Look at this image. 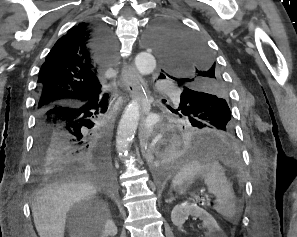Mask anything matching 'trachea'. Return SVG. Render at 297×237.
<instances>
[{
	"mask_svg": "<svg viewBox=\"0 0 297 237\" xmlns=\"http://www.w3.org/2000/svg\"><path fill=\"white\" fill-rule=\"evenodd\" d=\"M108 98H109V94H108V93H105V94L103 95V97H102V100H103V101H107Z\"/></svg>",
	"mask_w": 297,
	"mask_h": 237,
	"instance_id": "trachea-1",
	"label": "trachea"
}]
</instances>
